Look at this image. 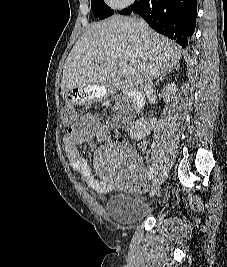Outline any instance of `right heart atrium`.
<instances>
[{
  "instance_id": "right-heart-atrium-1",
  "label": "right heart atrium",
  "mask_w": 227,
  "mask_h": 267,
  "mask_svg": "<svg viewBox=\"0 0 227 267\" xmlns=\"http://www.w3.org/2000/svg\"><path fill=\"white\" fill-rule=\"evenodd\" d=\"M114 8H126L134 3L135 0H106Z\"/></svg>"
}]
</instances>
